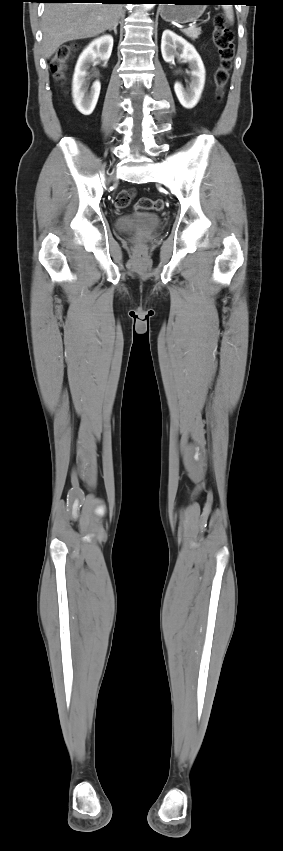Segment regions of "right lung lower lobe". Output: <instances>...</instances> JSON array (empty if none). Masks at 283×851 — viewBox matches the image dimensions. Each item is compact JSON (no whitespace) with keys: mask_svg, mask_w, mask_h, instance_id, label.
<instances>
[{"mask_svg":"<svg viewBox=\"0 0 283 851\" xmlns=\"http://www.w3.org/2000/svg\"><path fill=\"white\" fill-rule=\"evenodd\" d=\"M44 2L125 4L139 3V0H44Z\"/></svg>","mask_w":283,"mask_h":851,"instance_id":"1","label":"right lung lower lobe"}]
</instances>
